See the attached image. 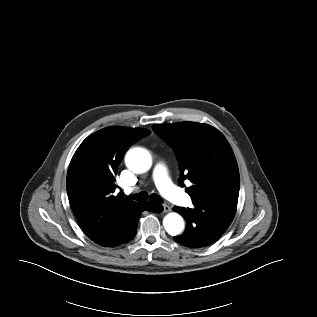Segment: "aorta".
Returning a JSON list of instances; mask_svg holds the SVG:
<instances>
[{
	"mask_svg": "<svg viewBox=\"0 0 317 317\" xmlns=\"http://www.w3.org/2000/svg\"><path fill=\"white\" fill-rule=\"evenodd\" d=\"M125 163L130 170L145 173L152 166V156L146 149L136 147L126 153ZM163 226L168 234L175 236L183 231L184 220L178 213L171 212L164 217Z\"/></svg>",
	"mask_w": 317,
	"mask_h": 317,
	"instance_id": "1",
	"label": "aorta"
}]
</instances>
